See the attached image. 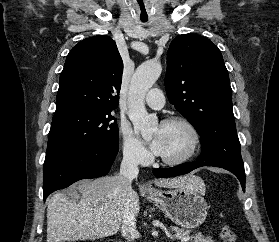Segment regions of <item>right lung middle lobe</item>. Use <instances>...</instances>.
Wrapping results in <instances>:
<instances>
[{
  "mask_svg": "<svg viewBox=\"0 0 279 242\" xmlns=\"http://www.w3.org/2000/svg\"><path fill=\"white\" fill-rule=\"evenodd\" d=\"M118 143L119 130L110 110L77 109L56 113L45 161L77 149L118 146Z\"/></svg>",
  "mask_w": 279,
  "mask_h": 242,
  "instance_id": "obj_1",
  "label": "right lung middle lobe"
}]
</instances>
